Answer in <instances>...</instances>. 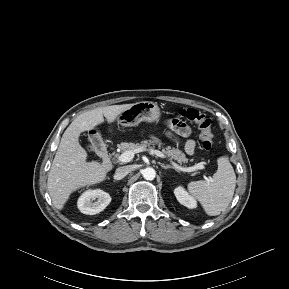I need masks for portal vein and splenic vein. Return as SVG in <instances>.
<instances>
[{"instance_id":"1","label":"portal vein and splenic vein","mask_w":289,"mask_h":289,"mask_svg":"<svg viewBox=\"0 0 289 289\" xmlns=\"http://www.w3.org/2000/svg\"><path fill=\"white\" fill-rule=\"evenodd\" d=\"M142 151H148L151 155H156L161 158H167V156L161 151H158L155 149H146L145 147H138L134 151L130 150V151L123 152L121 155H119L118 160L123 163L130 162L133 159L135 153H139ZM169 161L176 169L183 171V172H193L199 169H204L203 163H198L197 165L192 166V167H182L178 165L177 163H175L174 161H172L171 159H169Z\"/></svg>"}]
</instances>
